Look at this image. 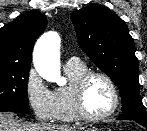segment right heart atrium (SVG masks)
Listing matches in <instances>:
<instances>
[{"label":"right heart atrium","mask_w":147,"mask_h":131,"mask_svg":"<svg viewBox=\"0 0 147 131\" xmlns=\"http://www.w3.org/2000/svg\"><path fill=\"white\" fill-rule=\"evenodd\" d=\"M27 102L35 117L41 121H53L57 116V102L54 91L50 90L35 69H30L25 79Z\"/></svg>","instance_id":"d8ad5b80"}]
</instances>
